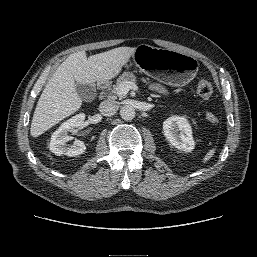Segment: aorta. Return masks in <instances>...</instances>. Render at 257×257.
Masks as SVG:
<instances>
[{"instance_id": "obj_1", "label": "aorta", "mask_w": 257, "mask_h": 257, "mask_svg": "<svg viewBox=\"0 0 257 257\" xmlns=\"http://www.w3.org/2000/svg\"><path fill=\"white\" fill-rule=\"evenodd\" d=\"M120 116L126 121H131L135 117V109L131 105H124L120 109Z\"/></svg>"}]
</instances>
